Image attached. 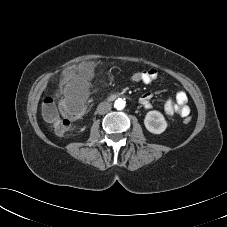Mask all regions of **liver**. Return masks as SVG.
<instances>
[{"label": "liver", "instance_id": "liver-1", "mask_svg": "<svg viewBox=\"0 0 227 227\" xmlns=\"http://www.w3.org/2000/svg\"><path fill=\"white\" fill-rule=\"evenodd\" d=\"M87 68H92V66L91 65H83V66H81V69H87ZM71 74H69V77H71L70 79V81L68 82V90L76 83V82H78L79 80H80V76H70Z\"/></svg>", "mask_w": 227, "mask_h": 227}]
</instances>
